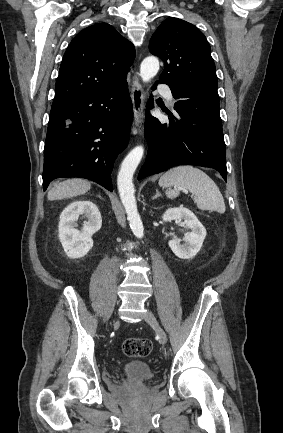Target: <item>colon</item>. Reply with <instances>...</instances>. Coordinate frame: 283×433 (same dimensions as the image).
Returning <instances> with one entry per match:
<instances>
[{
	"mask_svg": "<svg viewBox=\"0 0 283 433\" xmlns=\"http://www.w3.org/2000/svg\"><path fill=\"white\" fill-rule=\"evenodd\" d=\"M122 350L129 357H146L152 351V343L146 338H130L123 343Z\"/></svg>",
	"mask_w": 283,
	"mask_h": 433,
	"instance_id": "5ec220e1",
	"label": "colon"
}]
</instances>
